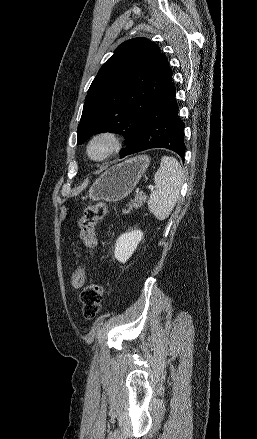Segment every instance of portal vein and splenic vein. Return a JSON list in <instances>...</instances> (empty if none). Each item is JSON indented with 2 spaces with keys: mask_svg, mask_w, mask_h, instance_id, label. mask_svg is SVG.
Returning <instances> with one entry per match:
<instances>
[{
  "mask_svg": "<svg viewBox=\"0 0 257 439\" xmlns=\"http://www.w3.org/2000/svg\"><path fill=\"white\" fill-rule=\"evenodd\" d=\"M148 189H150L151 191L153 190V186H148Z\"/></svg>",
  "mask_w": 257,
  "mask_h": 439,
  "instance_id": "obj_1",
  "label": "portal vein and splenic vein"
}]
</instances>
